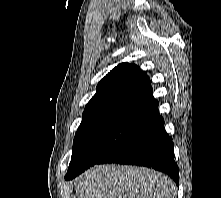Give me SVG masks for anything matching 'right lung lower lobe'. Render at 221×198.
Wrapping results in <instances>:
<instances>
[{
	"mask_svg": "<svg viewBox=\"0 0 221 198\" xmlns=\"http://www.w3.org/2000/svg\"><path fill=\"white\" fill-rule=\"evenodd\" d=\"M173 147L172 138L165 132L164 120L157 112L97 164L120 163L153 168L169 175L178 185L179 171Z\"/></svg>",
	"mask_w": 221,
	"mask_h": 198,
	"instance_id": "1",
	"label": "right lung lower lobe"
}]
</instances>
